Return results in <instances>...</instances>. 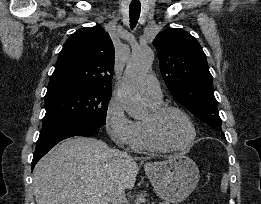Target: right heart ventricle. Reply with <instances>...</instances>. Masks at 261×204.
Returning <instances> with one entry per match:
<instances>
[{"label": "right heart ventricle", "mask_w": 261, "mask_h": 204, "mask_svg": "<svg viewBox=\"0 0 261 204\" xmlns=\"http://www.w3.org/2000/svg\"><path fill=\"white\" fill-rule=\"evenodd\" d=\"M147 102L150 109H155L162 105V101ZM131 146L140 151L159 152L166 150L153 140L148 131L145 120L134 121V135Z\"/></svg>", "instance_id": "obj_1"}]
</instances>
